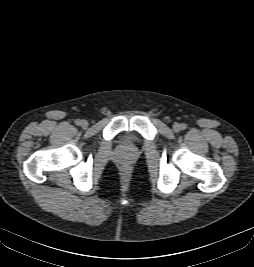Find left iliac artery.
<instances>
[{"label":"left iliac artery","instance_id":"left-iliac-artery-1","mask_svg":"<svg viewBox=\"0 0 254 267\" xmlns=\"http://www.w3.org/2000/svg\"><path fill=\"white\" fill-rule=\"evenodd\" d=\"M180 128H181L182 130H184V129H186V125H185V124H181V125H180Z\"/></svg>","mask_w":254,"mask_h":267}]
</instances>
